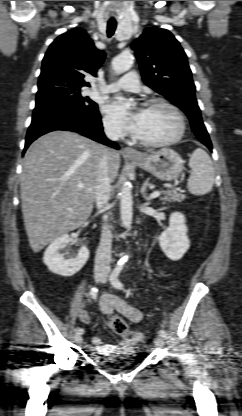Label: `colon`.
Returning <instances> with one entry per match:
<instances>
[{
  "label": "colon",
  "instance_id": "5ec220e1",
  "mask_svg": "<svg viewBox=\"0 0 242 416\" xmlns=\"http://www.w3.org/2000/svg\"><path fill=\"white\" fill-rule=\"evenodd\" d=\"M108 325L111 331L121 336L128 342H138L143 339V334L130 330L125 320L120 316L113 315L109 319Z\"/></svg>",
  "mask_w": 242,
  "mask_h": 416
}]
</instances>
